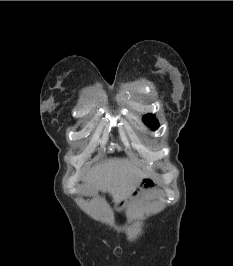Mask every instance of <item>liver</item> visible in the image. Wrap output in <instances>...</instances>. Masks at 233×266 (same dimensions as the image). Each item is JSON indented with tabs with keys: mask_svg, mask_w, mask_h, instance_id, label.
<instances>
[{
	"mask_svg": "<svg viewBox=\"0 0 233 266\" xmlns=\"http://www.w3.org/2000/svg\"><path fill=\"white\" fill-rule=\"evenodd\" d=\"M146 174L128 159H107L102 166L91 169L83 178L87 195L101 190L109 193L114 202L125 199Z\"/></svg>",
	"mask_w": 233,
	"mask_h": 266,
	"instance_id": "liver-1",
	"label": "liver"
}]
</instances>
